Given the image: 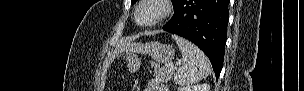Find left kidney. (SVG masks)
I'll return each mask as SVG.
<instances>
[{
    "instance_id": "5707ae66",
    "label": "left kidney",
    "mask_w": 304,
    "mask_h": 91,
    "mask_svg": "<svg viewBox=\"0 0 304 91\" xmlns=\"http://www.w3.org/2000/svg\"><path fill=\"white\" fill-rule=\"evenodd\" d=\"M178 91H210L209 84H197V85H187L180 87Z\"/></svg>"
}]
</instances>
